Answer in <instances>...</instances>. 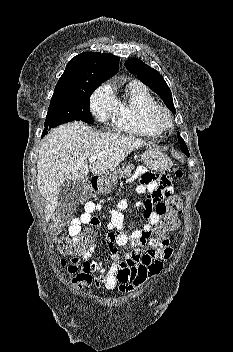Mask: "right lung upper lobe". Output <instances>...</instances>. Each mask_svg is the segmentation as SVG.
Listing matches in <instances>:
<instances>
[{
	"label": "right lung upper lobe",
	"mask_w": 233,
	"mask_h": 352,
	"mask_svg": "<svg viewBox=\"0 0 233 352\" xmlns=\"http://www.w3.org/2000/svg\"><path fill=\"white\" fill-rule=\"evenodd\" d=\"M119 58L113 54L83 52L73 57L56 84L55 92H70L88 85L100 86L118 72Z\"/></svg>",
	"instance_id": "right-lung-upper-lobe-1"
}]
</instances>
